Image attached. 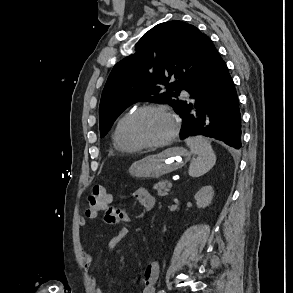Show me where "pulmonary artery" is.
<instances>
[{
    "label": "pulmonary artery",
    "instance_id": "obj_1",
    "mask_svg": "<svg viewBox=\"0 0 293 293\" xmlns=\"http://www.w3.org/2000/svg\"><path fill=\"white\" fill-rule=\"evenodd\" d=\"M181 95H182V96H187L188 93H187L186 91H182Z\"/></svg>",
    "mask_w": 293,
    "mask_h": 293
}]
</instances>
